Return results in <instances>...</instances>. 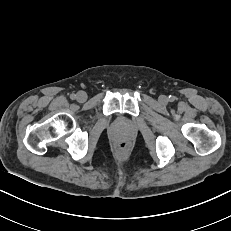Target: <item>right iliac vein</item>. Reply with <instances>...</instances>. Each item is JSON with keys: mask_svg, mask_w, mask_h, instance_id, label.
I'll list each match as a JSON object with an SVG mask.
<instances>
[{"mask_svg": "<svg viewBox=\"0 0 231 231\" xmlns=\"http://www.w3.org/2000/svg\"><path fill=\"white\" fill-rule=\"evenodd\" d=\"M86 99H87V94L84 91H79L76 94V100L78 102H84V101H86Z\"/></svg>", "mask_w": 231, "mask_h": 231, "instance_id": "obj_1", "label": "right iliac vein"}]
</instances>
